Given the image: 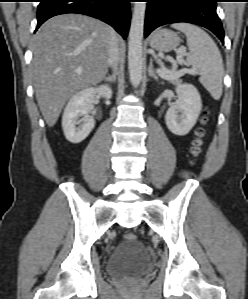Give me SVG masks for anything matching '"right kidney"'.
Returning a JSON list of instances; mask_svg holds the SVG:
<instances>
[{
	"label": "right kidney",
	"mask_w": 248,
	"mask_h": 299,
	"mask_svg": "<svg viewBox=\"0 0 248 299\" xmlns=\"http://www.w3.org/2000/svg\"><path fill=\"white\" fill-rule=\"evenodd\" d=\"M96 95L110 99L112 90L106 85L86 88L74 94L66 105L62 116V128L66 139L71 143L82 142L94 128L95 120L89 116V112L93 107ZM80 116H83V124L76 127L79 124Z\"/></svg>",
	"instance_id": "obj_1"
}]
</instances>
